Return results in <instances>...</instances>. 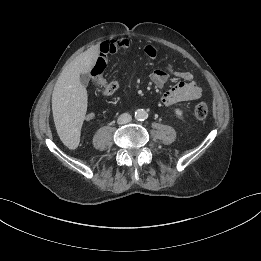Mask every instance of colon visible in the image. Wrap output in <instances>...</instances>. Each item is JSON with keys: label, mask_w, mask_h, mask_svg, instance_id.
<instances>
[{"label": "colon", "mask_w": 261, "mask_h": 261, "mask_svg": "<svg viewBox=\"0 0 261 261\" xmlns=\"http://www.w3.org/2000/svg\"><path fill=\"white\" fill-rule=\"evenodd\" d=\"M102 67H95L92 71V82L99 89V91L103 95H110L112 88L108 85V83L102 78ZM194 114L197 119H204L208 114V105L206 102L201 101L196 104L194 108Z\"/></svg>", "instance_id": "colon-1"}]
</instances>
